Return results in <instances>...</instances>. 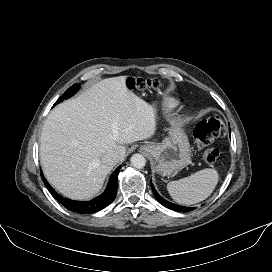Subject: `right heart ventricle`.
<instances>
[{
    "mask_svg": "<svg viewBox=\"0 0 272 272\" xmlns=\"http://www.w3.org/2000/svg\"><path fill=\"white\" fill-rule=\"evenodd\" d=\"M178 105V101L172 98H169L165 101V107L171 109Z\"/></svg>",
    "mask_w": 272,
    "mask_h": 272,
    "instance_id": "e07e8e85",
    "label": "right heart ventricle"
}]
</instances>
